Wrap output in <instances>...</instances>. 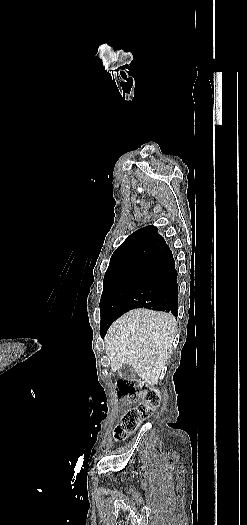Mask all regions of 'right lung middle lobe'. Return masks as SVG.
<instances>
[{"mask_svg": "<svg viewBox=\"0 0 247 525\" xmlns=\"http://www.w3.org/2000/svg\"><path fill=\"white\" fill-rule=\"evenodd\" d=\"M151 256L138 265L119 271H106L103 292L100 300V326L110 327L120 315L118 309L138 279L146 272L154 260Z\"/></svg>", "mask_w": 247, "mask_h": 525, "instance_id": "obj_1", "label": "right lung middle lobe"}]
</instances>
